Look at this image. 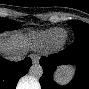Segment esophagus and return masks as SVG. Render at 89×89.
Returning a JSON list of instances; mask_svg holds the SVG:
<instances>
[{
	"mask_svg": "<svg viewBox=\"0 0 89 89\" xmlns=\"http://www.w3.org/2000/svg\"><path fill=\"white\" fill-rule=\"evenodd\" d=\"M31 58H32L33 63H35V64L38 63V61H39V56H37V55H32Z\"/></svg>",
	"mask_w": 89,
	"mask_h": 89,
	"instance_id": "1",
	"label": "esophagus"
}]
</instances>
